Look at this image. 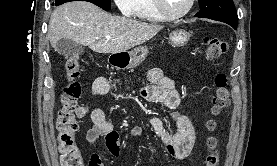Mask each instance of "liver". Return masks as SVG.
Wrapping results in <instances>:
<instances>
[{
  "instance_id": "obj_1",
  "label": "liver",
  "mask_w": 277,
  "mask_h": 166,
  "mask_svg": "<svg viewBox=\"0 0 277 166\" xmlns=\"http://www.w3.org/2000/svg\"><path fill=\"white\" fill-rule=\"evenodd\" d=\"M162 29V25L111 15L90 2L73 1L53 11L47 36L54 49L58 41L70 39L95 52L113 54L149 41Z\"/></svg>"
}]
</instances>
